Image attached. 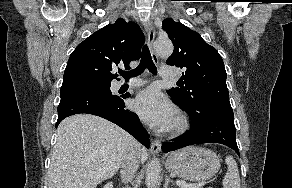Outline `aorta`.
<instances>
[{"instance_id": "aorta-1", "label": "aorta", "mask_w": 292, "mask_h": 188, "mask_svg": "<svg viewBox=\"0 0 292 188\" xmlns=\"http://www.w3.org/2000/svg\"><path fill=\"white\" fill-rule=\"evenodd\" d=\"M154 49L158 56L169 57L173 53V44L169 39H157L154 43ZM160 161L154 158L146 169V185L148 188H156L160 178Z\"/></svg>"}]
</instances>
